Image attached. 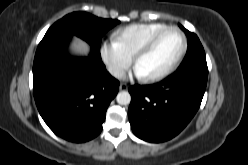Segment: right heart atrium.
I'll return each instance as SVG.
<instances>
[{
    "mask_svg": "<svg viewBox=\"0 0 248 165\" xmlns=\"http://www.w3.org/2000/svg\"><path fill=\"white\" fill-rule=\"evenodd\" d=\"M100 56L108 72L115 78H121L132 64V57L115 40L102 43Z\"/></svg>",
    "mask_w": 248,
    "mask_h": 165,
    "instance_id": "obj_1",
    "label": "right heart atrium"
}]
</instances>
